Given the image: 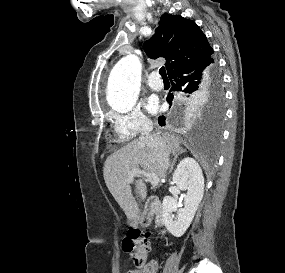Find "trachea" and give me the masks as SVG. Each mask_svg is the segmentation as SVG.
<instances>
[{
  "instance_id": "obj_1",
  "label": "trachea",
  "mask_w": 285,
  "mask_h": 273,
  "mask_svg": "<svg viewBox=\"0 0 285 273\" xmlns=\"http://www.w3.org/2000/svg\"><path fill=\"white\" fill-rule=\"evenodd\" d=\"M159 73H160L162 79H168L165 67H161L160 70H159Z\"/></svg>"
}]
</instances>
